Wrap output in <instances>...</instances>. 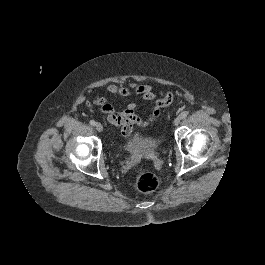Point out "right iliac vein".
I'll return each mask as SVG.
<instances>
[{
	"label": "right iliac vein",
	"mask_w": 265,
	"mask_h": 265,
	"mask_svg": "<svg viewBox=\"0 0 265 265\" xmlns=\"http://www.w3.org/2000/svg\"><path fill=\"white\" fill-rule=\"evenodd\" d=\"M95 127H96V130L97 131H99V132H102L103 131V126H102L101 123H96Z\"/></svg>",
	"instance_id": "63e3f726"
}]
</instances>
